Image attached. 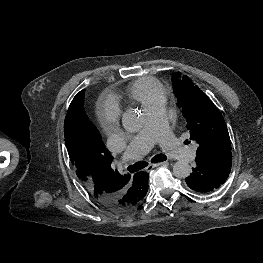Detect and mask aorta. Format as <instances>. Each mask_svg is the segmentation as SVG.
I'll use <instances>...</instances> for the list:
<instances>
[{
    "label": "aorta",
    "mask_w": 263,
    "mask_h": 263,
    "mask_svg": "<svg viewBox=\"0 0 263 263\" xmlns=\"http://www.w3.org/2000/svg\"><path fill=\"white\" fill-rule=\"evenodd\" d=\"M122 124L127 132L135 133L142 129L144 118L142 115L133 109L124 112ZM191 173V166L188 162L178 161L173 165V174L178 178H186Z\"/></svg>",
    "instance_id": "obj_1"
}]
</instances>
